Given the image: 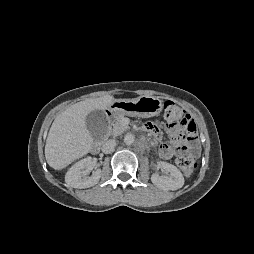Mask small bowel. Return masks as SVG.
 I'll list each match as a JSON object with an SVG mask.
<instances>
[{
    "label": "small bowel",
    "instance_id": "small-bowel-1",
    "mask_svg": "<svg viewBox=\"0 0 254 254\" xmlns=\"http://www.w3.org/2000/svg\"><path fill=\"white\" fill-rule=\"evenodd\" d=\"M142 127H143V130H145L146 132H148L155 138L160 139L161 135L156 125H154L151 122H147ZM168 132L170 136L172 137L176 148H173L172 146L168 145L165 142L160 144L159 154H160V157L165 160L171 159L176 154L177 151H185L187 145L182 146L180 144L183 143L184 141L188 142L187 140L183 138L180 128H169Z\"/></svg>",
    "mask_w": 254,
    "mask_h": 254
}]
</instances>
